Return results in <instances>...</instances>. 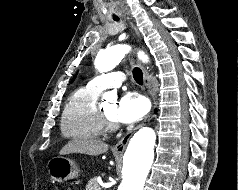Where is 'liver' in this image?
Instances as JSON below:
<instances>
[{
  "label": "liver",
  "instance_id": "6515ba94",
  "mask_svg": "<svg viewBox=\"0 0 238 190\" xmlns=\"http://www.w3.org/2000/svg\"><path fill=\"white\" fill-rule=\"evenodd\" d=\"M109 146L101 141L88 138H74L59 152L60 155L81 153L97 156L108 151Z\"/></svg>",
  "mask_w": 238,
  "mask_h": 190
}]
</instances>
